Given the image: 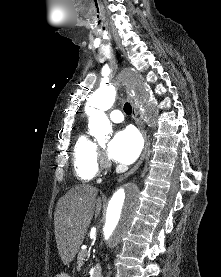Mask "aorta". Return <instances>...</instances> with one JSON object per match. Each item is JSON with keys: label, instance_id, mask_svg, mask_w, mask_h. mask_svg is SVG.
<instances>
[{"label": "aorta", "instance_id": "aorta-1", "mask_svg": "<svg viewBox=\"0 0 221 277\" xmlns=\"http://www.w3.org/2000/svg\"><path fill=\"white\" fill-rule=\"evenodd\" d=\"M128 89L143 101L146 115L152 122L159 117V106L152 97L147 85L139 74L130 70L124 75ZM116 88L108 84L97 89L89 98L86 112L89 116V132L97 140L102 141L112 131L110 121L105 114L115 102ZM140 204V191L134 184H127L117 189L111 196L102 225L103 242L106 249L115 247L131 227Z\"/></svg>", "mask_w": 221, "mask_h": 277}]
</instances>
